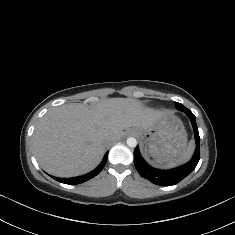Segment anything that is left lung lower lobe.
<instances>
[{"instance_id":"1","label":"left lung lower lobe","mask_w":235,"mask_h":235,"mask_svg":"<svg viewBox=\"0 0 235 235\" xmlns=\"http://www.w3.org/2000/svg\"><path fill=\"white\" fill-rule=\"evenodd\" d=\"M191 119V123L194 129L195 140H196V150L192 159L180 167L170 169V170H159L148 165L142 158L139 152L138 146L134 151V165L139 172V174L151 181L156 185H175L188 176L196 167L200 159V137L198 133V128L195 120L194 114L188 110L185 112Z\"/></svg>"}]
</instances>
